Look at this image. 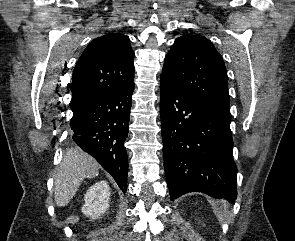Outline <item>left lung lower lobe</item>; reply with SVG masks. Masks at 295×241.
Instances as JSON below:
<instances>
[{
	"mask_svg": "<svg viewBox=\"0 0 295 241\" xmlns=\"http://www.w3.org/2000/svg\"><path fill=\"white\" fill-rule=\"evenodd\" d=\"M164 169L171 199L203 192L233 202L237 167L230 117L187 96L160 78Z\"/></svg>",
	"mask_w": 295,
	"mask_h": 241,
	"instance_id": "1",
	"label": "left lung lower lobe"
}]
</instances>
